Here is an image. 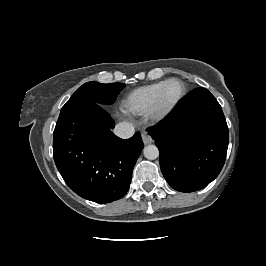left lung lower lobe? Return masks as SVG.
I'll list each match as a JSON object with an SVG mask.
<instances>
[{
    "instance_id": "left-lung-lower-lobe-1",
    "label": "left lung lower lobe",
    "mask_w": 266,
    "mask_h": 266,
    "mask_svg": "<svg viewBox=\"0 0 266 266\" xmlns=\"http://www.w3.org/2000/svg\"><path fill=\"white\" fill-rule=\"evenodd\" d=\"M149 134L159 149L161 171L177 191L200 190L222 170L229 132L220 104L207 89L187 95Z\"/></svg>"
}]
</instances>
